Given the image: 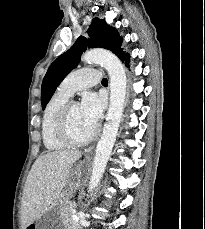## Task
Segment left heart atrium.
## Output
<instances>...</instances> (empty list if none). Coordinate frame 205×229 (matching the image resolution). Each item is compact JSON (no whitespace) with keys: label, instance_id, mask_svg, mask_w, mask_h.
Instances as JSON below:
<instances>
[{"label":"left heart atrium","instance_id":"1","mask_svg":"<svg viewBox=\"0 0 205 229\" xmlns=\"http://www.w3.org/2000/svg\"><path fill=\"white\" fill-rule=\"evenodd\" d=\"M80 108L85 118L95 126L104 109V98L97 93L88 92L83 96Z\"/></svg>","mask_w":205,"mask_h":229}]
</instances>
